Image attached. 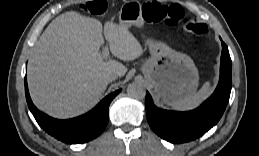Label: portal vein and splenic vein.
Masks as SVG:
<instances>
[{"mask_svg":"<svg viewBox=\"0 0 259 156\" xmlns=\"http://www.w3.org/2000/svg\"><path fill=\"white\" fill-rule=\"evenodd\" d=\"M109 55V51H108V48H104L103 51H102V56L103 58H107Z\"/></svg>","mask_w":259,"mask_h":156,"instance_id":"portal-vein-and-splenic-vein-1","label":"portal vein and splenic vein"}]
</instances>
